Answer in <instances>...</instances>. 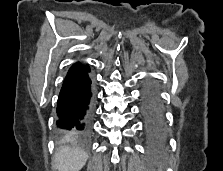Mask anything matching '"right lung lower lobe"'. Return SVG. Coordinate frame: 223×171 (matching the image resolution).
<instances>
[{
  "label": "right lung lower lobe",
  "instance_id": "1",
  "mask_svg": "<svg viewBox=\"0 0 223 171\" xmlns=\"http://www.w3.org/2000/svg\"><path fill=\"white\" fill-rule=\"evenodd\" d=\"M89 66L72 65L63 82L57 104V128L61 136L86 139L92 114Z\"/></svg>",
  "mask_w": 223,
  "mask_h": 171
}]
</instances>
